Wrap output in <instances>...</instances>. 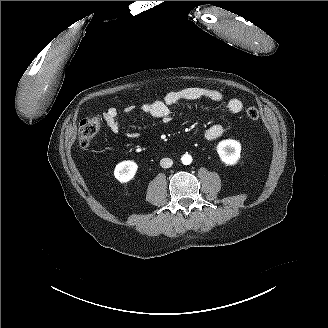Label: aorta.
Masks as SVG:
<instances>
[{"label": "aorta", "instance_id": "762f6f07", "mask_svg": "<svg viewBox=\"0 0 328 328\" xmlns=\"http://www.w3.org/2000/svg\"><path fill=\"white\" fill-rule=\"evenodd\" d=\"M181 161L184 165H190L192 163V157L189 154H184L181 157Z\"/></svg>", "mask_w": 328, "mask_h": 328}]
</instances>
